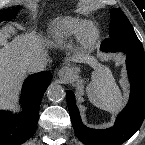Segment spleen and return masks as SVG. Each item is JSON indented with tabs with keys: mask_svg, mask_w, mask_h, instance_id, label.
Returning a JSON list of instances; mask_svg holds the SVG:
<instances>
[{
	"mask_svg": "<svg viewBox=\"0 0 145 145\" xmlns=\"http://www.w3.org/2000/svg\"><path fill=\"white\" fill-rule=\"evenodd\" d=\"M87 90L91 103L102 110L114 113L122 107L121 91L109 70L96 77Z\"/></svg>",
	"mask_w": 145,
	"mask_h": 145,
	"instance_id": "spleen-1",
	"label": "spleen"
}]
</instances>
